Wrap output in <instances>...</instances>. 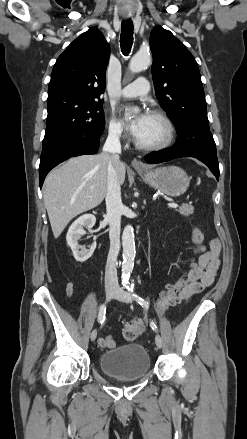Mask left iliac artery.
<instances>
[{
	"label": "left iliac artery",
	"instance_id": "obj_1",
	"mask_svg": "<svg viewBox=\"0 0 247 439\" xmlns=\"http://www.w3.org/2000/svg\"><path fill=\"white\" fill-rule=\"evenodd\" d=\"M126 288L128 289V291H130L132 293V296L138 302V304H140L145 310L149 309V302L148 301L144 300L143 298L138 296L136 293H134L133 290L131 289V287L126 286ZM150 326L154 331H157V326H156L155 322L151 321Z\"/></svg>",
	"mask_w": 247,
	"mask_h": 439
}]
</instances>
